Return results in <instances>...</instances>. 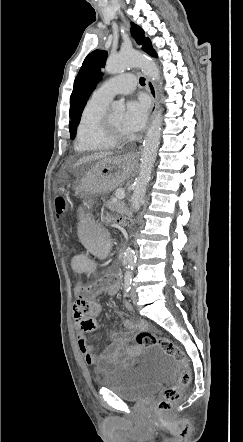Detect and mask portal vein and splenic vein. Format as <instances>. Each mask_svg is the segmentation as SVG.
Wrapping results in <instances>:
<instances>
[{
	"mask_svg": "<svg viewBox=\"0 0 243 442\" xmlns=\"http://www.w3.org/2000/svg\"><path fill=\"white\" fill-rule=\"evenodd\" d=\"M125 197V192L123 189H118L115 193L116 199H123Z\"/></svg>",
	"mask_w": 243,
	"mask_h": 442,
	"instance_id": "portal-vein-and-splenic-vein-1",
	"label": "portal vein and splenic vein"
}]
</instances>
